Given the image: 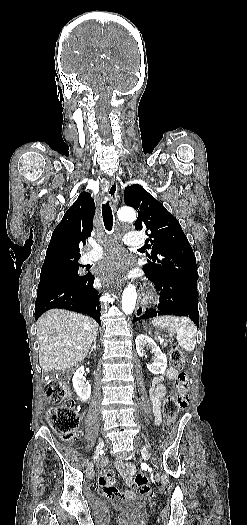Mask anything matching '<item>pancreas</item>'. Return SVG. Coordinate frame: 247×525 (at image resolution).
<instances>
[{"instance_id":"obj_1","label":"pancreas","mask_w":247,"mask_h":525,"mask_svg":"<svg viewBox=\"0 0 247 525\" xmlns=\"http://www.w3.org/2000/svg\"><path fill=\"white\" fill-rule=\"evenodd\" d=\"M162 347H166V345H162Z\"/></svg>"}]
</instances>
